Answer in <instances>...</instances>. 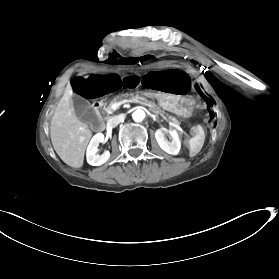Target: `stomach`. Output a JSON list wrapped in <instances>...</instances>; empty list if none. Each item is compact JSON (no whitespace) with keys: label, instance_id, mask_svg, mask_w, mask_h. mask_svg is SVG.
Wrapping results in <instances>:
<instances>
[{"label":"stomach","instance_id":"stomach-1","mask_svg":"<svg viewBox=\"0 0 279 279\" xmlns=\"http://www.w3.org/2000/svg\"><path fill=\"white\" fill-rule=\"evenodd\" d=\"M155 100L159 103V108L161 110H168L169 108L173 111L179 113L186 112L189 113L193 109V101L189 97H180L177 101L172 97H165L164 94L159 93L156 95Z\"/></svg>","mask_w":279,"mask_h":279}]
</instances>
